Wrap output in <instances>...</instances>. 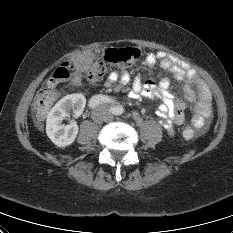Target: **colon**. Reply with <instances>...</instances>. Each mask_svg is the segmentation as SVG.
<instances>
[{
  "label": "colon",
  "instance_id": "obj_1",
  "mask_svg": "<svg viewBox=\"0 0 233 233\" xmlns=\"http://www.w3.org/2000/svg\"><path fill=\"white\" fill-rule=\"evenodd\" d=\"M140 56L136 48H111L105 52L104 61H95L86 69L89 81L100 80L107 71V64L112 66H130ZM73 70V65L64 63L58 67L48 79L46 85L38 92L34 101V111L38 118H43L60 95V85L66 81ZM203 132L202 129L188 126L182 134L185 139H193Z\"/></svg>",
  "mask_w": 233,
  "mask_h": 233
}]
</instances>
